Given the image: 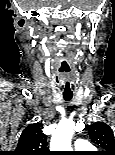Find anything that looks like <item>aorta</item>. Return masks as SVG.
I'll use <instances>...</instances> for the list:
<instances>
[{
  "instance_id": "1",
  "label": "aorta",
  "mask_w": 115,
  "mask_h": 155,
  "mask_svg": "<svg viewBox=\"0 0 115 155\" xmlns=\"http://www.w3.org/2000/svg\"><path fill=\"white\" fill-rule=\"evenodd\" d=\"M75 123L72 120H66L59 123L50 142L52 151H70L71 138L74 134Z\"/></svg>"
}]
</instances>
